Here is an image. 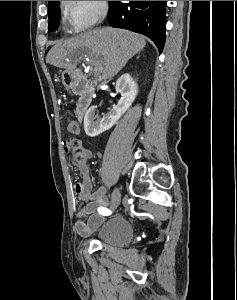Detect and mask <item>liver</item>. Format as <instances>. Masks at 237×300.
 <instances>
[{"label":"liver","mask_w":237,"mask_h":300,"mask_svg":"<svg viewBox=\"0 0 237 300\" xmlns=\"http://www.w3.org/2000/svg\"><path fill=\"white\" fill-rule=\"evenodd\" d=\"M146 41L142 35L123 31V29H94V31H85L67 41H59L50 49L46 63L73 71L76 65L80 63V57L83 53L95 57L97 63H103L100 67L103 73V79H112L117 75L127 61L142 51Z\"/></svg>","instance_id":"liver-1"}]
</instances>
